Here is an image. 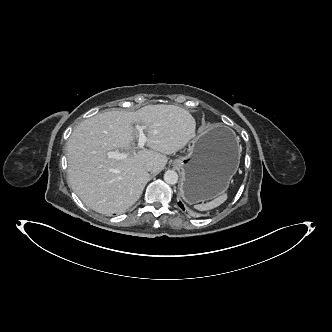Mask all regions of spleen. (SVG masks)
<instances>
[{
	"label": "spleen",
	"instance_id": "spleen-1",
	"mask_svg": "<svg viewBox=\"0 0 332 332\" xmlns=\"http://www.w3.org/2000/svg\"><path fill=\"white\" fill-rule=\"evenodd\" d=\"M226 200H227V193H224L223 195L218 196L217 198L213 199L210 202H207L205 204H197L194 207L199 211H208L220 206Z\"/></svg>",
	"mask_w": 332,
	"mask_h": 332
}]
</instances>
